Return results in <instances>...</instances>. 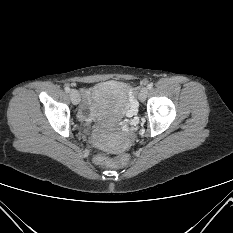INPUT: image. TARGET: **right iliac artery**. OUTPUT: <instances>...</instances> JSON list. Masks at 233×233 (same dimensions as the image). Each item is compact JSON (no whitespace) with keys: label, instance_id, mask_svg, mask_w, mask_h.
Returning <instances> with one entry per match:
<instances>
[{"label":"right iliac artery","instance_id":"obj_1","mask_svg":"<svg viewBox=\"0 0 233 233\" xmlns=\"http://www.w3.org/2000/svg\"><path fill=\"white\" fill-rule=\"evenodd\" d=\"M65 91H66L67 93H69V92H70V88H69V87H65Z\"/></svg>","mask_w":233,"mask_h":233}]
</instances>
